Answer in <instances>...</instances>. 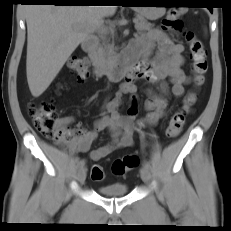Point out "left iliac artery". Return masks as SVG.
Masks as SVG:
<instances>
[{
    "label": "left iliac artery",
    "mask_w": 231,
    "mask_h": 231,
    "mask_svg": "<svg viewBox=\"0 0 231 231\" xmlns=\"http://www.w3.org/2000/svg\"><path fill=\"white\" fill-rule=\"evenodd\" d=\"M143 166H145V167H147V168H151V166H150V163L149 162H147V161H145L144 160V162H143Z\"/></svg>",
    "instance_id": "left-iliac-artery-1"
}]
</instances>
